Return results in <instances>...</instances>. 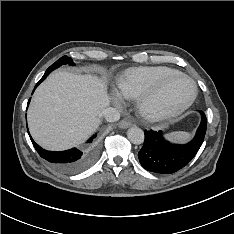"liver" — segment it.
Listing matches in <instances>:
<instances>
[{"instance_id":"6515ba94","label":"liver","mask_w":234,"mask_h":234,"mask_svg":"<svg viewBox=\"0 0 234 234\" xmlns=\"http://www.w3.org/2000/svg\"><path fill=\"white\" fill-rule=\"evenodd\" d=\"M109 102L105 80L56 71L33 95L27 114L30 133L48 150L77 146L99 127Z\"/></svg>"}]
</instances>
